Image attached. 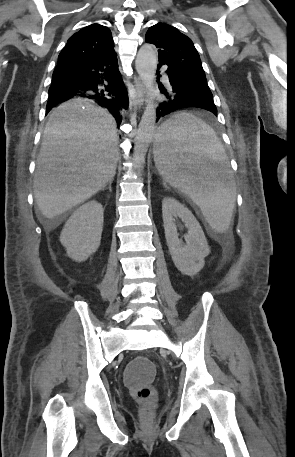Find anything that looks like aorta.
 I'll return each instance as SVG.
<instances>
[{
	"label": "aorta",
	"mask_w": 295,
	"mask_h": 457,
	"mask_svg": "<svg viewBox=\"0 0 295 457\" xmlns=\"http://www.w3.org/2000/svg\"><path fill=\"white\" fill-rule=\"evenodd\" d=\"M157 57L151 44H144L138 51L135 67L148 91L152 92L155 81ZM146 107L135 136L133 152L134 167L141 172L145 154L155 134L156 106L152 99L146 101Z\"/></svg>",
	"instance_id": "aorta-1"
}]
</instances>
